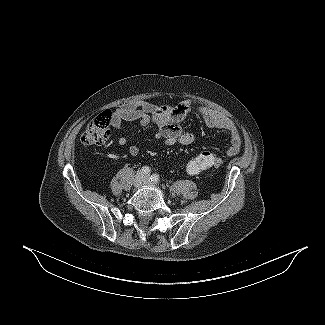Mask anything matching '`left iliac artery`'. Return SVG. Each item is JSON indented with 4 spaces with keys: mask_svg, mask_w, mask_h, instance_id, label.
<instances>
[{
    "mask_svg": "<svg viewBox=\"0 0 325 325\" xmlns=\"http://www.w3.org/2000/svg\"><path fill=\"white\" fill-rule=\"evenodd\" d=\"M151 181H153L154 183H159V175L158 174H153L152 176H151Z\"/></svg>",
    "mask_w": 325,
    "mask_h": 325,
    "instance_id": "1",
    "label": "left iliac artery"
}]
</instances>
